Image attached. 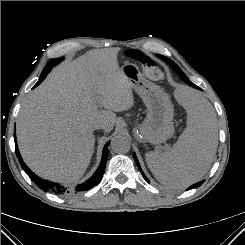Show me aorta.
Segmentation results:
<instances>
[{
  "label": "aorta",
  "mask_w": 245,
  "mask_h": 245,
  "mask_svg": "<svg viewBox=\"0 0 245 245\" xmlns=\"http://www.w3.org/2000/svg\"><path fill=\"white\" fill-rule=\"evenodd\" d=\"M130 141L122 135L115 136L111 141V149L115 153H126L130 150Z\"/></svg>",
  "instance_id": "obj_1"
}]
</instances>
